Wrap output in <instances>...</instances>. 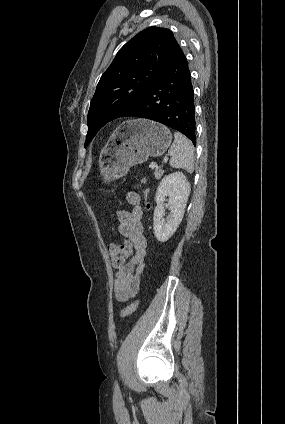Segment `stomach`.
<instances>
[{
  "label": "stomach",
  "mask_w": 285,
  "mask_h": 424,
  "mask_svg": "<svg viewBox=\"0 0 285 424\" xmlns=\"http://www.w3.org/2000/svg\"><path fill=\"white\" fill-rule=\"evenodd\" d=\"M172 141L167 127L146 119L123 122L115 130L99 157L105 182L124 176L129 169L149 157L165 153Z\"/></svg>",
  "instance_id": "0dacf381"
}]
</instances>
